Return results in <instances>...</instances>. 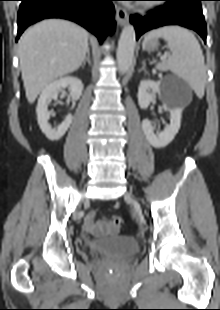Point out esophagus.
Listing matches in <instances>:
<instances>
[{
  "label": "esophagus",
  "mask_w": 220,
  "mask_h": 310,
  "mask_svg": "<svg viewBox=\"0 0 220 310\" xmlns=\"http://www.w3.org/2000/svg\"><path fill=\"white\" fill-rule=\"evenodd\" d=\"M115 13L118 24L120 26L125 25L129 18L127 11L120 6H115Z\"/></svg>",
  "instance_id": "1"
}]
</instances>
